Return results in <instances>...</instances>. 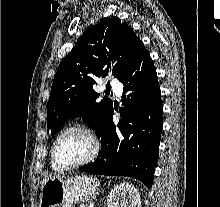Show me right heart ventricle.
<instances>
[{"mask_svg": "<svg viewBox=\"0 0 220 207\" xmlns=\"http://www.w3.org/2000/svg\"><path fill=\"white\" fill-rule=\"evenodd\" d=\"M51 165H52V168H53V169H57V168L55 167V165L52 163V161H51Z\"/></svg>", "mask_w": 220, "mask_h": 207, "instance_id": "obj_1", "label": "right heart ventricle"}]
</instances>
